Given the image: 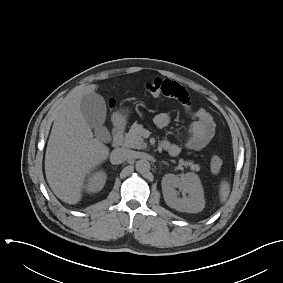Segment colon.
Segmentation results:
<instances>
[{"mask_svg": "<svg viewBox=\"0 0 283 283\" xmlns=\"http://www.w3.org/2000/svg\"><path fill=\"white\" fill-rule=\"evenodd\" d=\"M145 90L152 96L155 97L160 96L162 94V80L157 78L147 82L145 85ZM222 165H223V161L219 156L214 155L211 158L210 167L212 172L214 173L220 172Z\"/></svg>", "mask_w": 283, "mask_h": 283, "instance_id": "5ec220e1", "label": "colon"}]
</instances>
